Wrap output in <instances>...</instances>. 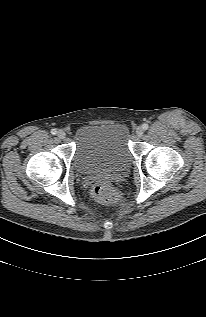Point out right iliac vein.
Returning a JSON list of instances; mask_svg holds the SVG:
<instances>
[{
	"label": "right iliac vein",
	"instance_id": "obj_1",
	"mask_svg": "<svg viewBox=\"0 0 206 317\" xmlns=\"http://www.w3.org/2000/svg\"><path fill=\"white\" fill-rule=\"evenodd\" d=\"M57 136H58V138H60V139H64V138L66 137V133H65L63 130H59V131L57 132Z\"/></svg>",
	"mask_w": 206,
	"mask_h": 317
}]
</instances>
